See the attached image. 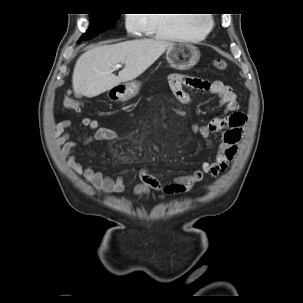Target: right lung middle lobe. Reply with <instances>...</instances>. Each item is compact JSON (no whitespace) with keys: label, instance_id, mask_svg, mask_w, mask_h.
I'll use <instances>...</instances> for the list:
<instances>
[{"label":"right lung middle lobe","instance_id":"right-lung-middle-lobe-1","mask_svg":"<svg viewBox=\"0 0 303 303\" xmlns=\"http://www.w3.org/2000/svg\"><path fill=\"white\" fill-rule=\"evenodd\" d=\"M119 17V13L91 14L90 27L88 31L82 35L78 42H81L82 40L91 39L97 36L99 33L113 28L116 25V22Z\"/></svg>","mask_w":303,"mask_h":303}]
</instances>
